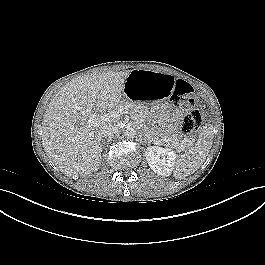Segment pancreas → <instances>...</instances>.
I'll return each mask as SVG.
<instances>
[{"label":"pancreas","instance_id":"1","mask_svg":"<svg viewBox=\"0 0 265 265\" xmlns=\"http://www.w3.org/2000/svg\"><path fill=\"white\" fill-rule=\"evenodd\" d=\"M116 108L118 110H122L123 114L125 113L130 114L131 117L137 123L141 124L145 136L148 137L149 139H154L155 141H159L160 143L167 145L178 144L177 138L175 136H171L169 131L162 129L156 131L155 129L150 128L145 124L146 119L149 116V112L144 106L126 100V101H120V103Z\"/></svg>","mask_w":265,"mask_h":265}]
</instances>
